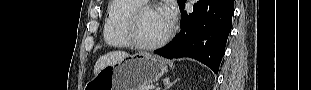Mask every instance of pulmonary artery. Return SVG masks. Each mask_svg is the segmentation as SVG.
I'll return each instance as SVG.
<instances>
[{
	"mask_svg": "<svg viewBox=\"0 0 311 90\" xmlns=\"http://www.w3.org/2000/svg\"><path fill=\"white\" fill-rule=\"evenodd\" d=\"M141 2H143V3H147L148 2V0H140Z\"/></svg>",
	"mask_w": 311,
	"mask_h": 90,
	"instance_id": "pulmonary-artery-1",
	"label": "pulmonary artery"
}]
</instances>
